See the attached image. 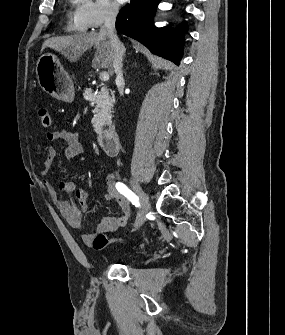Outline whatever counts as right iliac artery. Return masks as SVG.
Instances as JSON below:
<instances>
[{"label": "right iliac artery", "instance_id": "1", "mask_svg": "<svg viewBox=\"0 0 285 335\" xmlns=\"http://www.w3.org/2000/svg\"><path fill=\"white\" fill-rule=\"evenodd\" d=\"M116 189L122 195H124L133 205L136 207L140 206L138 197L123 183H116Z\"/></svg>", "mask_w": 285, "mask_h": 335}]
</instances>
